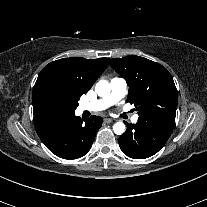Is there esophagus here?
I'll list each match as a JSON object with an SVG mask.
<instances>
[{
  "mask_svg": "<svg viewBox=\"0 0 207 207\" xmlns=\"http://www.w3.org/2000/svg\"><path fill=\"white\" fill-rule=\"evenodd\" d=\"M113 120L111 118H104V122L109 124L111 123Z\"/></svg>",
  "mask_w": 207,
  "mask_h": 207,
  "instance_id": "34e87169",
  "label": "esophagus"
}]
</instances>
